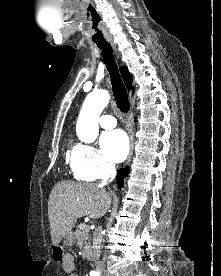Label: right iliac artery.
<instances>
[{
	"mask_svg": "<svg viewBox=\"0 0 221 276\" xmlns=\"http://www.w3.org/2000/svg\"><path fill=\"white\" fill-rule=\"evenodd\" d=\"M100 273L99 272H96V271H91L90 272V276H99Z\"/></svg>",
	"mask_w": 221,
	"mask_h": 276,
	"instance_id": "82829eb1",
	"label": "right iliac artery"
}]
</instances>
